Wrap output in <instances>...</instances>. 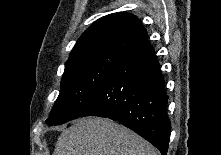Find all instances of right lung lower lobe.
<instances>
[{
	"mask_svg": "<svg viewBox=\"0 0 221 155\" xmlns=\"http://www.w3.org/2000/svg\"><path fill=\"white\" fill-rule=\"evenodd\" d=\"M167 102L164 77L154 49L146 40L111 70L80 117L116 120L167 155L171 133Z\"/></svg>",
	"mask_w": 221,
	"mask_h": 155,
	"instance_id": "1",
	"label": "right lung lower lobe"
}]
</instances>
